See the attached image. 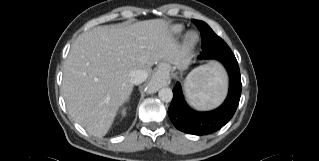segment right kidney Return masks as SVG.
Segmentation results:
<instances>
[{
	"instance_id": "ca27d5eb",
	"label": "right kidney",
	"mask_w": 319,
	"mask_h": 161,
	"mask_svg": "<svg viewBox=\"0 0 319 161\" xmlns=\"http://www.w3.org/2000/svg\"><path fill=\"white\" fill-rule=\"evenodd\" d=\"M122 113L125 114V110H123Z\"/></svg>"
}]
</instances>
